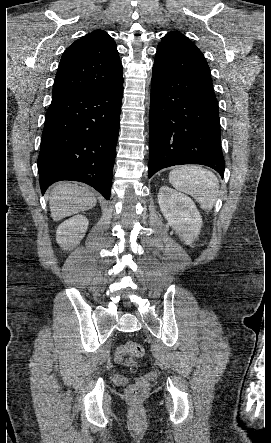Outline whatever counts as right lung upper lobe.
<instances>
[{
    "label": "right lung upper lobe",
    "mask_w": 271,
    "mask_h": 443,
    "mask_svg": "<svg viewBox=\"0 0 271 443\" xmlns=\"http://www.w3.org/2000/svg\"><path fill=\"white\" fill-rule=\"evenodd\" d=\"M117 46L104 30H96L71 44L63 53L52 97L94 88L109 87L123 80Z\"/></svg>",
    "instance_id": "right-lung-upper-lobe-1"
}]
</instances>
